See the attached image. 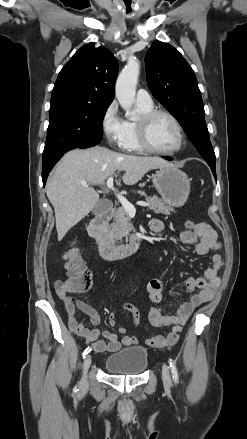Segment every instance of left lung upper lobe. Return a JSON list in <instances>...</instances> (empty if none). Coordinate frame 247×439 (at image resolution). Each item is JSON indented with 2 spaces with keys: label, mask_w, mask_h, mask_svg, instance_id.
Returning <instances> with one entry per match:
<instances>
[{
  "label": "left lung upper lobe",
  "mask_w": 247,
  "mask_h": 439,
  "mask_svg": "<svg viewBox=\"0 0 247 439\" xmlns=\"http://www.w3.org/2000/svg\"><path fill=\"white\" fill-rule=\"evenodd\" d=\"M151 93L181 124L210 167L216 157L205 124V111L194 71L171 45L154 41L146 57Z\"/></svg>",
  "instance_id": "obj_1"
}]
</instances>
